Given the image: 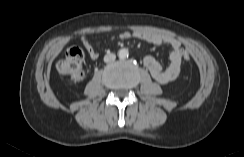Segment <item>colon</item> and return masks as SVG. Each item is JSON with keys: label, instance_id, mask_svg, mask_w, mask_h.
I'll use <instances>...</instances> for the list:
<instances>
[{"label": "colon", "instance_id": "obj_1", "mask_svg": "<svg viewBox=\"0 0 244 157\" xmlns=\"http://www.w3.org/2000/svg\"><path fill=\"white\" fill-rule=\"evenodd\" d=\"M182 58L185 62L190 61V54L183 52ZM60 75L68 78L72 82H80L85 77L84 54L78 46H71L65 56L56 64Z\"/></svg>", "mask_w": 244, "mask_h": 157}]
</instances>
